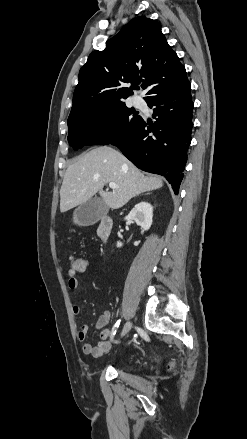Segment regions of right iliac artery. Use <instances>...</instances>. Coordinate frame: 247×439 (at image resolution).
Here are the masks:
<instances>
[{"mask_svg":"<svg viewBox=\"0 0 247 439\" xmlns=\"http://www.w3.org/2000/svg\"><path fill=\"white\" fill-rule=\"evenodd\" d=\"M119 325H120V320H118V321L116 322V324L114 325V327H113V335H115L116 330H117V328L119 327Z\"/></svg>","mask_w":247,"mask_h":439,"instance_id":"82829eb1","label":"right iliac artery"}]
</instances>
